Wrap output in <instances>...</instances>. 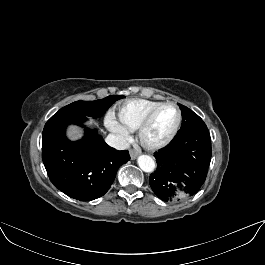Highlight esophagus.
<instances>
[{"mask_svg":"<svg viewBox=\"0 0 265 265\" xmlns=\"http://www.w3.org/2000/svg\"><path fill=\"white\" fill-rule=\"evenodd\" d=\"M138 155H139V153L137 151H135L134 149L130 150L131 159H135Z\"/></svg>","mask_w":265,"mask_h":265,"instance_id":"obj_1","label":"esophagus"}]
</instances>
